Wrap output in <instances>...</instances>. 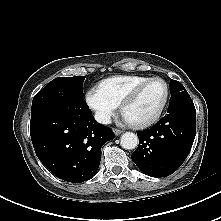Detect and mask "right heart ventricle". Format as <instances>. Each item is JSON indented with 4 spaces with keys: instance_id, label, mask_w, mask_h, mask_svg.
<instances>
[{
    "instance_id": "e07e8e85",
    "label": "right heart ventricle",
    "mask_w": 221,
    "mask_h": 221,
    "mask_svg": "<svg viewBox=\"0 0 221 221\" xmlns=\"http://www.w3.org/2000/svg\"><path fill=\"white\" fill-rule=\"evenodd\" d=\"M142 76H115L101 81L98 88L117 105L140 83L146 81Z\"/></svg>"
}]
</instances>
